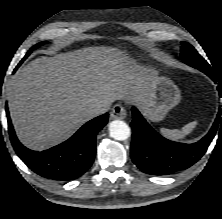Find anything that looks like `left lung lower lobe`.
Instances as JSON below:
<instances>
[{"mask_svg": "<svg viewBox=\"0 0 222 219\" xmlns=\"http://www.w3.org/2000/svg\"><path fill=\"white\" fill-rule=\"evenodd\" d=\"M189 66L198 68L216 82L211 67ZM218 89L222 93V89ZM132 113V161L141 171L150 175H168L189 168L204 155L218 127H222L221 110H219L212 128L205 137L197 143L183 144L159 135L135 107H132Z\"/></svg>", "mask_w": 222, "mask_h": 219, "instance_id": "1", "label": "left lung lower lobe"}]
</instances>
